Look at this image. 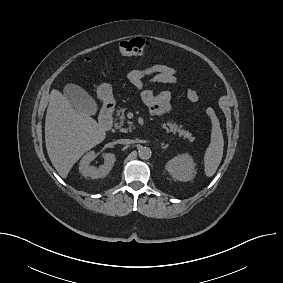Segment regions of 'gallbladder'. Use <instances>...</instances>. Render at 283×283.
I'll return each instance as SVG.
<instances>
[{
    "mask_svg": "<svg viewBox=\"0 0 283 283\" xmlns=\"http://www.w3.org/2000/svg\"><path fill=\"white\" fill-rule=\"evenodd\" d=\"M63 93L76 110L88 115L96 114L97 105L94 99L82 87L69 83L65 85Z\"/></svg>",
    "mask_w": 283,
    "mask_h": 283,
    "instance_id": "gallbladder-1",
    "label": "gallbladder"
}]
</instances>
